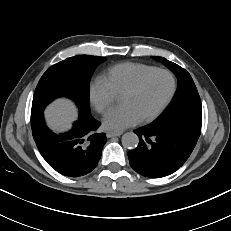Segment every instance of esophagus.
<instances>
[{
    "label": "esophagus",
    "instance_id": "esophagus-1",
    "mask_svg": "<svg viewBox=\"0 0 231 231\" xmlns=\"http://www.w3.org/2000/svg\"><path fill=\"white\" fill-rule=\"evenodd\" d=\"M121 134H122V132H107L106 137L107 138H112V137L120 136Z\"/></svg>",
    "mask_w": 231,
    "mask_h": 231
}]
</instances>
